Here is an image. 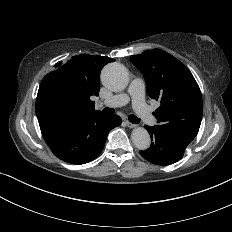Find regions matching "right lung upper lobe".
<instances>
[{
	"label": "right lung upper lobe",
	"mask_w": 232,
	"mask_h": 232,
	"mask_svg": "<svg viewBox=\"0 0 232 232\" xmlns=\"http://www.w3.org/2000/svg\"><path fill=\"white\" fill-rule=\"evenodd\" d=\"M113 61L107 56L80 54L66 63H56V69L45 75L38 90V119L100 113L95 110L91 96H98L100 72L107 63Z\"/></svg>",
	"instance_id": "1"
}]
</instances>
